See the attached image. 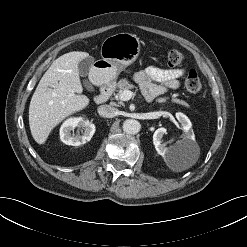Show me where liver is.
Returning <instances> with one entry per match:
<instances>
[{
  "instance_id": "1",
  "label": "liver",
  "mask_w": 247,
  "mask_h": 247,
  "mask_svg": "<svg viewBox=\"0 0 247 247\" xmlns=\"http://www.w3.org/2000/svg\"><path fill=\"white\" fill-rule=\"evenodd\" d=\"M86 57L88 53L81 51L60 56L39 81L29 106V126L38 144H44L62 120L88 106L78 70L79 62Z\"/></svg>"
}]
</instances>
